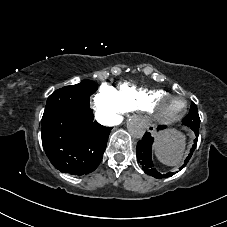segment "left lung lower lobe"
<instances>
[{
	"label": "left lung lower lobe",
	"instance_id": "left-lung-lower-lobe-1",
	"mask_svg": "<svg viewBox=\"0 0 227 227\" xmlns=\"http://www.w3.org/2000/svg\"><path fill=\"white\" fill-rule=\"evenodd\" d=\"M164 128H165L164 126H158L157 130H161ZM190 128L194 131V133L196 135L195 144L193 145L192 149L190 150V153L185 160V164L182 167H184L190 160V158L195 150L197 140H198L199 128H196V127H190ZM153 140L154 139L149 132L144 134L142 140L137 143V148H136L137 160L142 165L143 169L150 176H153L158 179L171 177L174 173L161 174L154 167V164L152 162V157H151Z\"/></svg>",
	"mask_w": 227,
	"mask_h": 227
}]
</instances>
